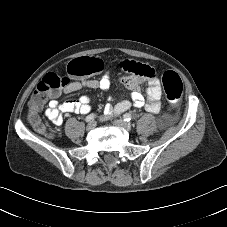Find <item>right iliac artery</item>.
Listing matches in <instances>:
<instances>
[{
    "label": "right iliac artery",
    "instance_id": "right-iliac-artery-1",
    "mask_svg": "<svg viewBox=\"0 0 227 227\" xmlns=\"http://www.w3.org/2000/svg\"><path fill=\"white\" fill-rule=\"evenodd\" d=\"M96 115L95 114H90L86 117V122H91L95 119Z\"/></svg>",
    "mask_w": 227,
    "mask_h": 227
}]
</instances>
